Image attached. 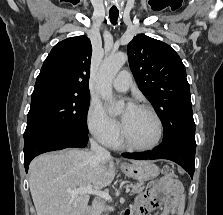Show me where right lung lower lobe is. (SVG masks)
Instances as JSON below:
<instances>
[{
	"label": "right lung lower lobe",
	"instance_id": "right-lung-lower-lobe-1",
	"mask_svg": "<svg viewBox=\"0 0 223 215\" xmlns=\"http://www.w3.org/2000/svg\"><path fill=\"white\" fill-rule=\"evenodd\" d=\"M88 135L70 132L43 133L24 139V166L28 171L31 160L45 152L68 147L83 148L87 145Z\"/></svg>",
	"mask_w": 223,
	"mask_h": 215
}]
</instances>
